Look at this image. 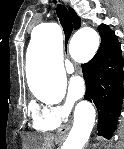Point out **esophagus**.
Wrapping results in <instances>:
<instances>
[{
	"instance_id": "1",
	"label": "esophagus",
	"mask_w": 124,
	"mask_h": 149,
	"mask_svg": "<svg viewBox=\"0 0 124 149\" xmlns=\"http://www.w3.org/2000/svg\"><path fill=\"white\" fill-rule=\"evenodd\" d=\"M69 129H70V125H68L67 127H64L62 129H60L59 133L60 134H66Z\"/></svg>"
}]
</instances>
